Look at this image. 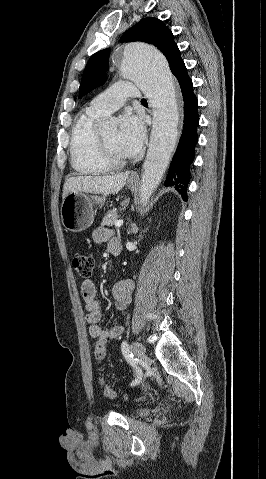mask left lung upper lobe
<instances>
[{
	"instance_id": "obj_1",
	"label": "left lung upper lobe",
	"mask_w": 266,
	"mask_h": 479,
	"mask_svg": "<svg viewBox=\"0 0 266 479\" xmlns=\"http://www.w3.org/2000/svg\"><path fill=\"white\" fill-rule=\"evenodd\" d=\"M134 41L149 43L157 47L166 56L172 73L183 62L172 32L157 18L148 17L140 20L120 38V42ZM109 52V49H104L90 57L82 76L79 89L80 96L105 82V71L109 65Z\"/></svg>"
}]
</instances>
